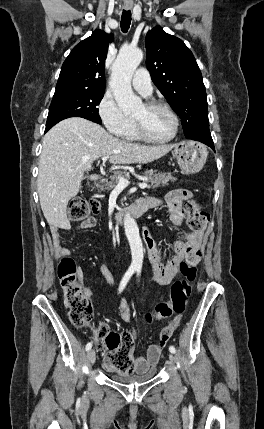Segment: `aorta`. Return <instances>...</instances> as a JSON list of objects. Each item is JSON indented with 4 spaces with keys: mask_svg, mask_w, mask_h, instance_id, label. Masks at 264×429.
Wrapping results in <instances>:
<instances>
[{
    "mask_svg": "<svg viewBox=\"0 0 264 429\" xmlns=\"http://www.w3.org/2000/svg\"><path fill=\"white\" fill-rule=\"evenodd\" d=\"M143 59V52L134 47H123L112 66L110 87L118 106L124 114L137 110L142 105L141 98L137 97L131 87L134 71ZM124 229L129 241L132 262L130 267L138 270L143 264V245L136 221L127 213L124 216Z\"/></svg>",
    "mask_w": 264,
    "mask_h": 429,
    "instance_id": "aorta-1",
    "label": "aorta"
}]
</instances>
